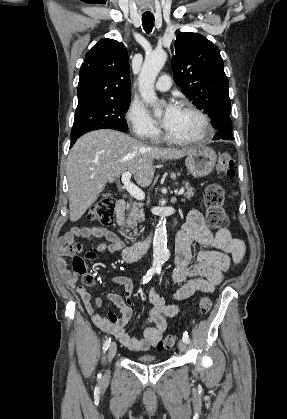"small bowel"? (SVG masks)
Listing matches in <instances>:
<instances>
[{"instance_id": "small-bowel-1", "label": "small bowel", "mask_w": 287, "mask_h": 419, "mask_svg": "<svg viewBox=\"0 0 287 419\" xmlns=\"http://www.w3.org/2000/svg\"><path fill=\"white\" fill-rule=\"evenodd\" d=\"M82 237L87 240L93 238H105L96 246L99 253L118 252L123 250L124 243L116 233L101 227H73L61 239V245L57 248L56 266L66 283L75 287L78 275L68 269L67 257L74 251L67 246L68 242H74ZM193 242L210 247L199 251L193 258L191 246ZM245 252L244 243L233 238L226 228L211 230L205 223L202 215L197 211H190L186 221L178 233L175 249V269L172 272V280L182 283V286L174 294L176 301H185L196 293L210 294L223 280V273L232 265L240 263ZM113 283L122 286L126 300L119 295L108 293L107 299L120 309L121 316L114 312H108L103 316L96 307L103 305L100 297L92 298L84 286H77L76 292L80 296L88 314L94 324L101 330L115 336L124 346L133 351H147L155 347L167 329V319L176 316L180 307L177 304L167 303L159 294L152 290L149 294L151 307L149 309V322L154 326L146 327L143 338L131 337L126 324L132 317L131 296L133 283L130 278L118 276L113 278Z\"/></svg>"}]
</instances>
